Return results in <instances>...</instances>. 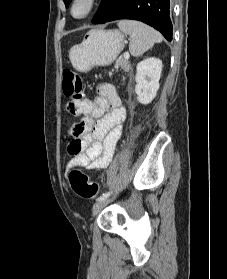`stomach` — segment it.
I'll return each mask as SVG.
<instances>
[{
  "instance_id": "0dacf381",
  "label": "stomach",
  "mask_w": 227,
  "mask_h": 279,
  "mask_svg": "<svg viewBox=\"0 0 227 279\" xmlns=\"http://www.w3.org/2000/svg\"><path fill=\"white\" fill-rule=\"evenodd\" d=\"M124 48V35L118 30L93 29L80 44L72 46L69 58L73 67L88 72L95 66L111 65Z\"/></svg>"
}]
</instances>
